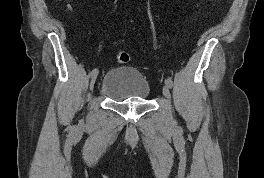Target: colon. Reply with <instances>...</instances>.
I'll return each instance as SVG.
<instances>
[{
  "instance_id": "1",
  "label": "colon",
  "mask_w": 264,
  "mask_h": 178,
  "mask_svg": "<svg viewBox=\"0 0 264 178\" xmlns=\"http://www.w3.org/2000/svg\"><path fill=\"white\" fill-rule=\"evenodd\" d=\"M116 60H117V62H119L121 64L128 63L130 61V55H129V53L124 52V51L119 52L116 55Z\"/></svg>"
}]
</instances>
